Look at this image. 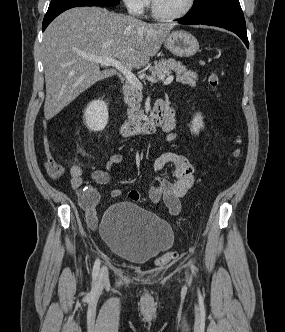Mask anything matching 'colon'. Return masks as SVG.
I'll return each instance as SVG.
<instances>
[{"mask_svg":"<svg viewBox=\"0 0 285 332\" xmlns=\"http://www.w3.org/2000/svg\"><path fill=\"white\" fill-rule=\"evenodd\" d=\"M209 84L213 88H217L219 85V76L217 73H211L209 78H208ZM237 143H239V139L237 140ZM234 156H238L240 154L239 148H236L233 152ZM46 169L49 173V175L53 178H59L63 174V167L57 163L55 160L52 158H49L46 162ZM175 256L174 251H167L164 253L160 258H159V263L164 264L167 263L169 260H171Z\"/></svg>","mask_w":285,"mask_h":332,"instance_id":"colon-1","label":"colon"}]
</instances>
